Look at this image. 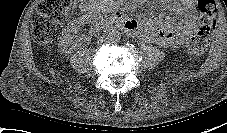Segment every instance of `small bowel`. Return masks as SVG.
Returning a JSON list of instances; mask_svg holds the SVG:
<instances>
[{
    "instance_id": "small-bowel-1",
    "label": "small bowel",
    "mask_w": 227,
    "mask_h": 133,
    "mask_svg": "<svg viewBox=\"0 0 227 133\" xmlns=\"http://www.w3.org/2000/svg\"><path fill=\"white\" fill-rule=\"evenodd\" d=\"M167 10L178 16L179 21L167 13L160 14L153 20L139 22L135 19H127L130 32L140 34L149 42L160 47H175L181 45L194 32L197 19L196 0H160ZM95 8L100 9L96 6ZM120 17L119 12H113Z\"/></svg>"
}]
</instances>
